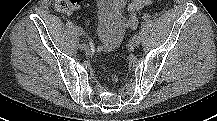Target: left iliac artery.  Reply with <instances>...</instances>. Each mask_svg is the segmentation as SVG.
I'll use <instances>...</instances> for the list:
<instances>
[{
  "instance_id": "1",
  "label": "left iliac artery",
  "mask_w": 217,
  "mask_h": 121,
  "mask_svg": "<svg viewBox=\"0 0 217 121\" xmlns=\"http://www.w3.org/2000/svg\"><path fill=\"white\" fill-rule=\"evenodd\" d=\"M143 21L149 22L151 20V16L149 14H144L142 17Z\"/></svg>"
}]
</instances>
